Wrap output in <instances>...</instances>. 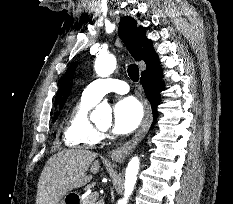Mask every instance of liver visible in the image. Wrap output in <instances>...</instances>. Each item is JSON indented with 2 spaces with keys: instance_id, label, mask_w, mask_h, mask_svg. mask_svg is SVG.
Returning a JSON list of instances; mask_svg holds the SVG:
<instances>
[{
  "instance_id": "1",
  "label": "liver",
  "mask_w": 233,
  "mask_h": 204,
  "mask_svg": "<svg viewBox=\"0 0 233 204\" xmlns=\"http://www.w3.org/2000/svg\"><path fill=\"white\" fill-rule=\"evenodd\" d=\"M96 153L82 150H62L47 161L37 186L36 204H58L73 189L86 185L99 171L100 163Z\"/></svg>"
}]
</instances>
